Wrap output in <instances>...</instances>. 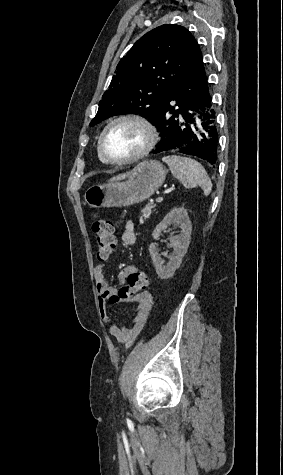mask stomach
<instances>
[{
  "label": "stomach",
  "instance_id": "stomach-1",
  "mask_svg": "<svg viewBox=\"0 0 283 475\" xmlns=\"http://www.w3.org/2000/svg\"><path fill=\"white\" fill-rule=\"evenodd\" d=\"M167 170L158 160H144L135 166L126 182L92 186L85 192L90 208H121L148 200L162 184Z\"/></svg>",
  "mask_w": 283,
  "mask_h": 475
}]
</instances>
